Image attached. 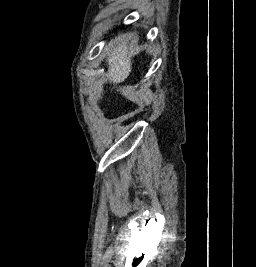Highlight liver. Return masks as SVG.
Masks as SVG:
<instances>
[{
    "mask_svg": "<svg viewBox=\"0 0 256 267\" xmlns=\"http://www.w3.org/2000/svg\"><path fill=\"white\" fill-rule=\"evenodd\" d=\"M127 44L128 40H124V42L117 44L116 48L112 46L110 52L107 54V78L113 84L124 82L132 70L131 56H129Z\"/></svg>",
    "mask_w": 256,
    "mask_h": 267,
    "instance_id": "obj_1",
    "label": "liver"
}]
</instances>
